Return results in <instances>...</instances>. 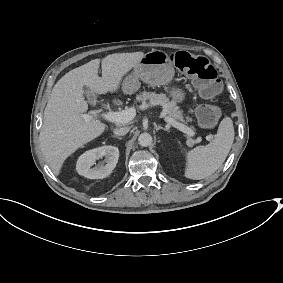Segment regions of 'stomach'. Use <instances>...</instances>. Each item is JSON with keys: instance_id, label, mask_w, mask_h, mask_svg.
I'll return each instance as SVG.
<instances>
[{"instance_id": "1", "label": "stomach", "mask_w": 283, "mask_h": 283, "mask_svg": "<svg viewBox=\"0 0 283 283\" xmlns=\"http://www.w3.org/2000/svg\"><path fill=\"white\" fill-rule=\"evenodd\" d=\"M174 73V67L164 51L147 52L134 66V70L123 79L122 91L125 94L135 93L140 88L139 80L154 86L167 85L172 81ZM170 96L174 102H182L185 93L179 88H173Z\"/></svg>"}]
</instances>
